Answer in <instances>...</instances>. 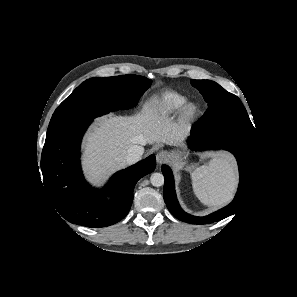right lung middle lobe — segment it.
<instances>
[{
    "label": "right lung middle lobe",
    "instance_id": "dd1d6c3e",
    "mask_svg": "<svg viewBox=\"0 0 297 297\" xmlns=\"http://www.w3.org/2000/svg\"><path fill=\"white\" fill-rule=\"evenodd\" d=\"M151 83L132 74L84 81L55 110L45 142L109 111L135 106Z\"/></svg>",
    "mask_w": 297,
    "mask_h": 297
}]
</instances>
